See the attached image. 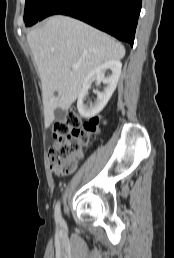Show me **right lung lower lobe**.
Masks as SVG:
<instances>
[{"instance_id": "98d812e1", "label": "right lung lower lobe", "mask_w": 174, "mask_h": 258, "mask_svg": "<svg viewBox=\"0 0 174 258\" xmlns=\"http://www.w3.org/2000/svg\"><path fill=\"white\" fill-rule=\"evenodd\" d=\"M141 3L142 0H53L43 19L55 14L71 16L132 46Z\"/></svg>"}]
</instances>
